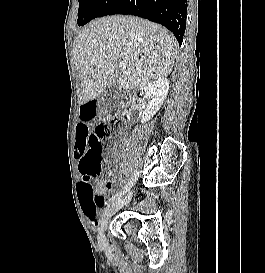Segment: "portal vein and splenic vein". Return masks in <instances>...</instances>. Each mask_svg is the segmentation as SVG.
I'll list each match as a JSON object with an SVG mask.
<instances>
[{
  "instance_id": "portal-vein-and-splenic-vein-1",
  "label": "portal vein and splenic vein",
  "mask_w": 265,
  "mask_h": 273,
  "mask_svg": "<svg viewBox=\"0 0 265 273\" xmlns=\"http://www.w3.org/2000/svg\"><path fill=\"white\" fill-rule=\"evenodd\" d=\"M119 67H120L121 69H126V68H127V63L124 62V61H119Z\"/></svg>"
}]
</instances>
